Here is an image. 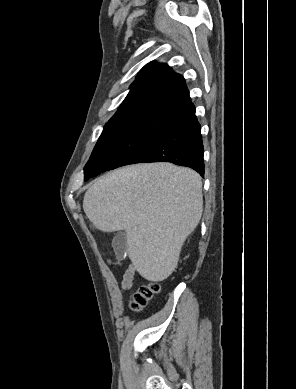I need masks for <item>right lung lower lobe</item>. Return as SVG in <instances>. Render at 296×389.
<instances>
[{
    "instance_id": "98d812e1",
    "label": "right lung lower lobe",
    "mask_w": 296,
    "mask_h": 389,
    "mask_svg": "<svg viewBox=\"0 0 296 389\" xmlns=\"http://www.w3.org/2000/svg\"><path fill=\"white\" fill-rule=\"evenodd\" d=\"M203 153L201 126L194 111L179 119L162 135L142 162H171L190 167L203 176ZM98 174L99 171L85 168V180Z\"/></svg>"
}]
</instances>
